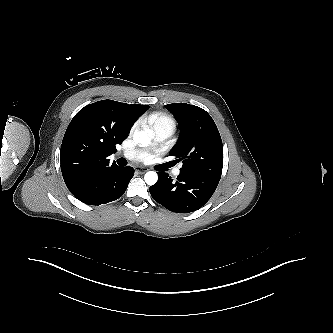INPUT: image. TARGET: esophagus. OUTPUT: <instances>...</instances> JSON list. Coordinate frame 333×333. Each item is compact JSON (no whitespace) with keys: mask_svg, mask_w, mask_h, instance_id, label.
Masks as SVG:
<instances>
[{"mask_svg":"<svg viewBox=\"0 0 333 333\" xmlns=\"http://www.w3.org/2000/svg\"><path fill=\"white\" fill-rule=\"evenodd\" d=\"M135 171L139 174H144L145 172H147V169L144 167H136Z\"/></svg>","mask_w":333,"mask_h":333,"instance_id":"obj_1","label":"esophagus"}]
</instances>
